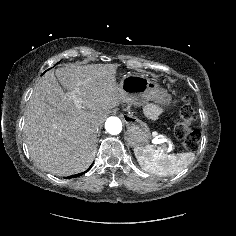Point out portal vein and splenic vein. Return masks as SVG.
I'll use <instances>...</instances> for the list:
<instances>
[{
  "label": "portal vein and splenic vein",
  "mask_w": 236,
  "mask_h": 236,
  "mask_svg": "<svg viewBox=\"0 0 236 236\" xmlns=\"http://www.w3.org/2000/svg\"><path fill=\"white\" fill-rule=\"evenodd\" d=\"M67 96L74 101V104L76 105V107H80L81 106V102L82 101H81V99L79 97H77L75 91L68 92ZM152 136H153V140L152 141H153L154 144H161V143L165 142V139L161 135H158L157 132H153ZM169 151L170 150H168L167 152H169Z\"/></svg>",
  "instance_id": "18ae733b"
}]
</instances>
